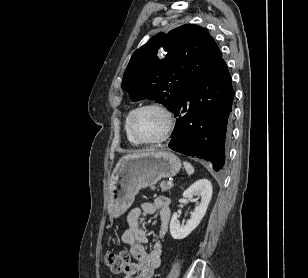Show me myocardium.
I'll return each mask as SVG.
<instances>
[{
    "label": "myocardium",
    "instance_id": "obj_1",
    "mask_svg": "<svg viewBox=\"0 0 308 278\" xmlns=\"http://www.w3.org/2000/svg\"><path fill=\"white\" fill-rule=\"evenodd\" d=\"M147 108H153V109H157L159 111H161L165 118H166V128L164 133L156 138V139H144L142 137H140L139 135L136 134V132L134 131L133 128V119L134 116L141 110L143 109H147ZM127 127H128V131L130 133V135L139 143V144H158V143H162L164 141H166L169 136L171 135L173 128H174V120H173V116L171 114V112L169 111L168 108H166L164 105L160 104V103H145L142 105H139L138 107L134 108L129 116H128V120H127Z\"/></svg>",
    "mask_w": 308,
    "mask_h": 278
}]
</instances>
